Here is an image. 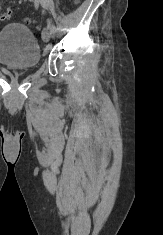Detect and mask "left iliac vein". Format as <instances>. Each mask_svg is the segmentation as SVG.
I'll return each instance as SVG.
<instances>
[{
  "label": "left iliac vein",
  "instance_id": "left-iliac-vein-1",
  "mask_svg": "<svg viewBox=\"0 0 163 235\" xmlns=\"http://www.w3.org/2000/svg\"><path fill=\"white\" fill-rule=\"evenodd\" d=\"M30 1H34V0H30ZM50 37H51V32L49 30V28L45 27L43 30H42V39L44 42H49L50 40Z\"/></svg>",
  "mask_w": 163,
  "mask_h": 235
}]
</instances>
